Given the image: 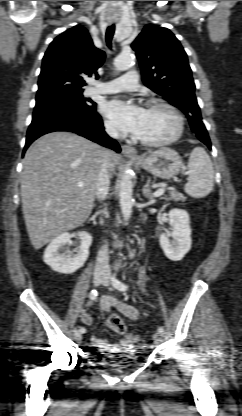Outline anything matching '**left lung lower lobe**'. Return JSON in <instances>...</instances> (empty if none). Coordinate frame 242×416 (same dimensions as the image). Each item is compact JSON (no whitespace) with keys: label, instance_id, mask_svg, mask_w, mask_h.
Instances as JSON below:
<instances>
[{"label":"left lung lower lobe","instance_id":"1","mask_svg":"<svg viewBox=\"0 0 242 416\" xmlns=\"http://www.w3.org/2000/svg\"><path fill=\"white\" fill-rule=\"evenodd\" d=\"M202 141L204 144H206L208 146L209 149H211V143H210V139L209 138H203Z\"/></svg>","mask_w":242,"mask_h":416}]
</instances>
